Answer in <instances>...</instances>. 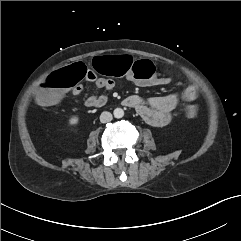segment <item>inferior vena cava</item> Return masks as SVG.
I'll return each mask as SVG.
<instances>
[{
  "label": "inferior vena cava",
  "instance_id": "1",
  "mask_svg": "<svg viewBox=\"0 0 241 241\" xmlns=\"http://www.w3.org/2000/svg\"><path fill=\"white\" fill-rule=\"evenodd\" d=\"M112 119H113V116L110 112L105 111V112H102L100 115V121L102 123L110 122Z\"/></svg>",
  "mask_w": 241,
  "mask_h": 241
}]
</instances>
